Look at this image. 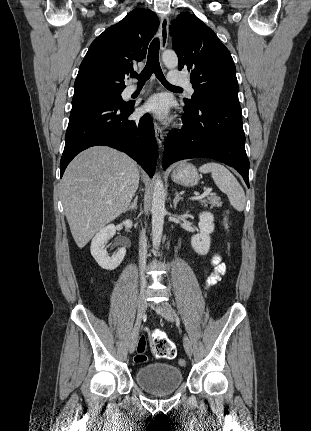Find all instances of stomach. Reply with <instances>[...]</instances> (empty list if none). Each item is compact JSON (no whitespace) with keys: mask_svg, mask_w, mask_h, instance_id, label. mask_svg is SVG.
<instances>
[{"mask_svg":"<svg viewBox=\"0 0 311 431\" xmlns=\"http://www.w3.org/2000/svg\"><path fill=\"white\" fill-rule=\"evenodd\" d=\"M171 180L175 184H179V186H184V188H194L200 180V174H198L193 164L180 162L175 170L171 172Z\"/></svg>","mask_w":311,"mask_h":431,"instance_id":"1","label":"stomach"}]
</instances>
